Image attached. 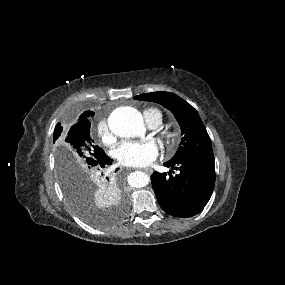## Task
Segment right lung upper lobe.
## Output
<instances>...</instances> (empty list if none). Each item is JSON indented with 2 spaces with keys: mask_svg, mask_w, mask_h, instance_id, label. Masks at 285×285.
Instances as JSON below:
<instances>
[{
  "mask_svg": "<svg viewBox=\"0 0 285 285\" xmlns=\"http://www.w3.org/2000/svg\"><path fill=\"white\" fill-rule=\"evenodd\" d=\"M91 115H94V113L91 112V111H85V112L79 117V122H78V123H80V122L86 120V119H87L89 116H91ZM78 123H77V124H78Z\"/></svg>",
  "mask_w": 285,
  "mask_h": 285,
  "instance_id": "obj_1",
  "label": "right lung upper lobe"
}]
</instances>
